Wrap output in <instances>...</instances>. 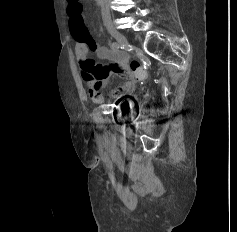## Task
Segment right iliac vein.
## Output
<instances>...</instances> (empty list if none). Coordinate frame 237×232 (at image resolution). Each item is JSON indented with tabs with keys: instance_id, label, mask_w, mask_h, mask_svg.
Segmentation results:
<instances>
[{
	"instance_id": "obj_1",
	"label": "right iliac vein",
	"mask_w": 237,
	"mask_h": 232,
	"mask_svg": "<svg viewBox=\"0 0 237 232\" xmlns=\"http://www.w3.org/2000/svg\"><path fill=\"white\" fill-rule=\"evenodd\" d=\"M107 30H108V32L110 33V35H111L113 38H115V40H117V42H118L121 46H123L124 48H127V47L130 46L129 43H128V41H127V39L125 38V36H124L122 33H120L117 29H115V28L112 27V26H108V27H107Z\"/></svg>"
}]
</instances>
